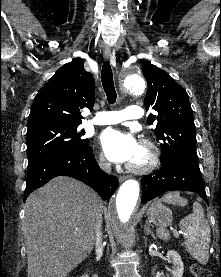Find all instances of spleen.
I'll return each mask as SVG.
<instances>
[{"instance_id": "1", "label": "spleen", "mask_w": 221, "mask_h": 277, "mask_svg": "<svg viewBox=\"0 0 221 277\" xmlns=\"http://www.w3.org/2000/svg\"><path fill=\"white\" fill-rule=\"evenodd\" d=\"M159 201L178 206L188 204V201L182 198L179 192L167 193ZM179 226L185 233V245L188 253L199 263L207 264L209 259L210 227L204 217V210L199 203L193 205V213L183 218ZM157 235L161 239H169V232L162 228L157 230Z\"/></svg>"}]
</instances>
